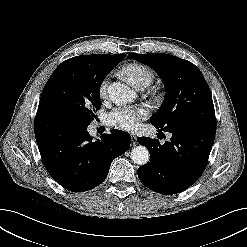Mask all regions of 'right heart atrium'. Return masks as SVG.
Wrapping results in <instances>:
<instances>
[{"label":"right heart atrium","instance_id":"1","mask_svg":"<svg viewBox=\"0 0 247 247\" xmlns=\"http://www.w3.org/2000/svg\"><path fill=\"white\" fill-rule=\"evenodd\" d=\"M107 86H108L107 79H103L99 85V94L101 98H104L106 96Z\"/></svg>","mask_w":247,"mask_h":247}]
</instances>
